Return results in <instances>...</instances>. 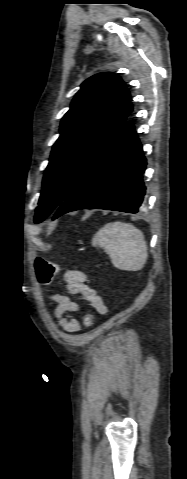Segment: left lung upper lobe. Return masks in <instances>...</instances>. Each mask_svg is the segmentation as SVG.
<instances>
[{
    "label": "left lung upper lobe",
    "instance_id": "5c2ea615",
    "mask_svg": "<svg viewBox=\"0 0 187 479\" xmlns=\"http://www.w3.org/2000/svg\"><path fill=\"white\" fill-rule=\"evenodd\" d=\"M129 91L113 73L82 83L60 125L43 178L34 221L40 223L65 201L90 166L116 141L132 112Z\"/></svg>",
    "mask_w": 187,
    "mask_h": 479
}]
</instances>
